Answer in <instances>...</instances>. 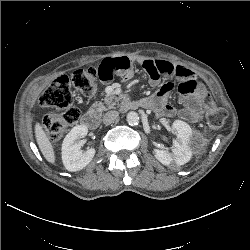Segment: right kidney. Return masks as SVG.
I'll list each match as a JSON object with an SVG mask.
<instances>
[{
  "label": "right kidney",
  "mask_w": 250,
  "mask_h": 250,
  "mask_svg": "<svg viewBox=\"0 0 250 250\" xmlns=\"http://www.w3.org/2000/svg\"><path fill=\"white\" fill-rule=\"evenodd\" d=\"M88 128L85 125H78L71 129L62 143V161L65 168L70 172H75L85 168L93 159L95 149L89 148L83 152L76 140L85 137Z\"/></svg>",
  "instance_id": "1"
}]
</instances>
